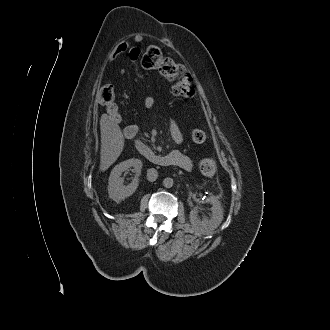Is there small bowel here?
I'll return each instance as SVG.
<instances>
[{"label": "small bowel", "mask_w": 330, "mask_h": 330, "mask_svg": "<svg viewBox=\"0 0 330 330\" xmlns=\"http://www.w3.org/2000/svg\"><path fill=\"white\" fill-rule=\"evenodd\" d=\"M136 41L139 42L138 39H136ZM127 51L129 52V56L133 61H135L141 53V50L138 47L132 46L129 42H120L112 49L109 56L110 61H114L116 58ZM143 104L146 108H152L155 104L154 97L151 95H146L143 98ZM129 127H132L131 131H134V126ZM169 129L172 140L177 144L182 143L183 134L179 125L175 121H171ZM165 156L169 162V165L178 166L185 170H190L192 167V161L190 157L181 151L174 150Z\"/></svg>", "instance_id": "small-bowel-1"}]
</instances>
